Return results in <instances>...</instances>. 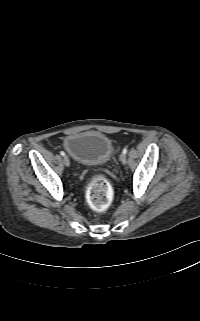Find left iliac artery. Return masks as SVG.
I'll use <instances>...</instances> for the list:
<instances>
[{"instance_id": "44dca946", "label": "left iliac artery", "mask_w": 200, "mask_h": 321, "mask_svg": "<svg viewBox=\"0 0 200 321\" xmlns=\"http://www.w3.org/2000/svg\"><path fill=\"white\" fill-rule=\"evenodd\" d=\"M123 153L126 154L127 153V148L123 149Z\"/></svg>"}]
</instances>
